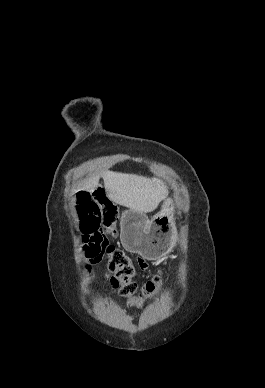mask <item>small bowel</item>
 I'll use <instances>...</instances> for the list:
<instances>
[{
    "label": "small bowel",
    "instance_id": "c3829d8e",
    "mask_svg": "<svg viewBox=\"0 0 265 388\" xmlns=\"http://www.w3.org/2000/svg\"><path fill=\"white\" fill-rule=\"evenodd\" d=\"M139 266H140V268H141L143 271H145V270L147 269V263H146L145 261H143V260H140V261H139ZM106 277H107V278H110V275H109V274H106ZM111 279H112V277L110 278V285H111L112 288H114L113 285H112ZM115 324H116V327H118V328H123L124 322L120 320V321H116Z\"/></svg>",
    "mask_w": 265,
    "mask_h": 388
}]
</instances>
